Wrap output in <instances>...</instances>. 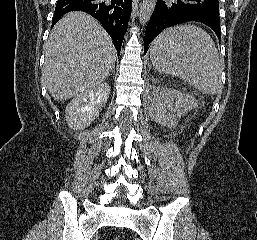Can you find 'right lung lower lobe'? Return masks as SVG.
<instances>
[{
  "mask_svg": "<svg viewBox=\"0 0 257 240\" xmlns=\"http://www.w3.org/2000/svg\"><path fill=\"white\" fill-rule=\"evenodd\" d=\"M132 10V0H58L52 27L70 11H83L100 21L120 54Z\"/></svg>",
  "mask_w": 257,
  "mask_h": 240,
  "instance_id": "right-lung-lower-lobe-1",
  "label": "right lung lower lobe"
}]
</instances>
